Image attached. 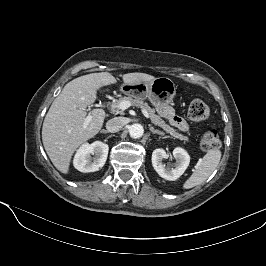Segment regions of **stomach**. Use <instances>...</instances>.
Returning <instances> with one entry per match:
<instances>
[{
	"label": "stomach",
	"instance_id": "0dacf381",
	"mask_svg": "<svg viewBox=\"0 0 266 266\" xmlns=\"http://www.w3.org/2000/svg\"><path fill=\"white\" fill-rule=\"evenodd\" d=\"M121 91L136 99L148 98L159 109L171 103L176 94V85L170 78L158 77L150 82L124 83Z\"/></svg>",
	"mask_w": 266,
	"mask_h": 266
}]
</instances>
